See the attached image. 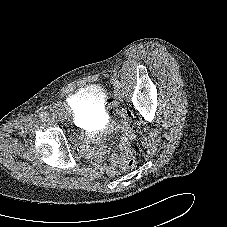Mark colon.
Masks as SVG:
<instances>
[{
    "instance_id": "colon-1",
    "label": "colon",
    "mask_w": 227,
    "mask_h": 227,
    "mask_svg": "<svg viewBox=\"0 0 227 227\" xmlns=\"http://www.w3.org/2000/svg\"><path fill=\"white\" fill-rule=\"evenodd\" d=\"M107 105L109 109H112L114 108L115 103L110 100L107 103ZM125 141L127 143L129 152L127 156L123 159L121 163V167L123 170H130V169H133L136 165V156L140 152V147L131 134L126 135Z\"/></svg>"
}]
</instances>
